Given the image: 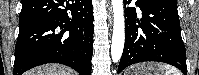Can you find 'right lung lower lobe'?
<instances>
[{"label": "right lung lower lobe", "instance_id": "right-lung-lower-lobe-1", "mask_svg": "<svg viewBox=\"0 0 199 75\" xmlns=\"http://www.w3.org/2000/svg\"><path fill=\"white\" fill-rule=\"evenodd\" d=\"M93 19L91 0H22L13 74L60 63L91 75Z\"/></svg>", "mask_w": 199, "mask_h": 75}]
</instances>
